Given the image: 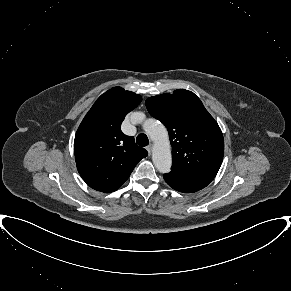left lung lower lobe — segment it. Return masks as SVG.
<instances>
[{
    "mask_svg": "<svg viewBox=\"0 0 291 291\" xmlns=\"http://www.w3.org/2000/svg\"><path fill=\"white\" fill-rule=\"evenodd\" d=\"M164 180L173 189L184 193L199 191L212 181L202 178L190 177L172 171L168 174H164Z\"/></svg>",
    "mask_w": 291,
    "mask_h": 291,
    "instance_id": "obj_1",
    "label": "left lung lower lobe"
}]
</instances>
